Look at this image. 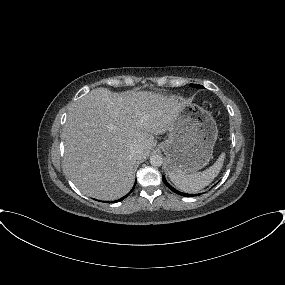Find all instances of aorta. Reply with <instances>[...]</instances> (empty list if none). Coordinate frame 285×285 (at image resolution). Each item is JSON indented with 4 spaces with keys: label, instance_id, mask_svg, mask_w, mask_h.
<instances>
[{
    "label": "aorta",
    "instance_id": "aorta-1",
    "mask_svg": "<svg viewBox=\"0 0 285 285\" xmlns=\"http://www.w3.org/2000/svg\"><path fill=\"white\" fill-rule=\"evenodd\" d=\"M163 163V158L158 154H153L150 157V164L155 167L161 166Z\"/></svg>",
    "mask_w": 285,
    "mask_h": 285
}]
</instances>
